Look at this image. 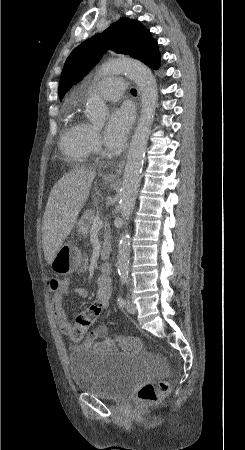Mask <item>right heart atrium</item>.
I'll return each mask as SVG.
<instances>
[{"instance_id":"d8ad5b80","label":"right heart atrium","mask_w":245,"mask_h":450,"mask_svg":"<svg viewBox=\"0 0 245 450\" xmlns=\"http://www.w3.org/2000/svg\"><path fill=\"white\" fill-rule=\"evenodd\" d=\"M90 147L91 151H99L101 148L100 136L95 130H92L90 136Z\"/></svg>"}]
</instances>
